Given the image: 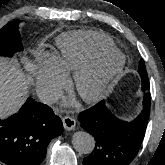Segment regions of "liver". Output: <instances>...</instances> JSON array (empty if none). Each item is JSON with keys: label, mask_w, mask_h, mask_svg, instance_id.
Listing matches in <instances>:
<instances>
[{"label": "liver", "mask_w": 165, "mask_h": 165, "mask_svg": "<svg viewBox=\"0 0 165 165\" xmlns=\"http://www.w3.org/2000/svg\"><path fill=\"white\" fill-rule=\"evenodd\" d=\"M25 68L30 72L29 74L19 69L16 61L0 57V118L2 119L16 113L25 102L33 79L30 74L35 73L36 66L31 61H26Z\"/></svg>", "instance_id": "liver-1"}]
</instances>
